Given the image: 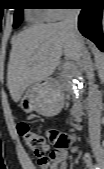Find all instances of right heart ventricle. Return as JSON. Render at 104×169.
Masks as SVG:
<instances>
[{
	"label": "right heart ventricle",
	"mask_w": 104,
	"mask_h": 169,
	"mask_svg": "<svg viewBox=\"0 0 104 169\" xmlns=\"http://www.w3.org/2000/svg\"><path fill=\"white\" fill-rule=\"evenodd\" d=\"M34 16L40 22L50 21L51 20V10L49 9H37L34 11Z\"/></svg>",
	"instance_id": "obj_1"
}]
</instances>
